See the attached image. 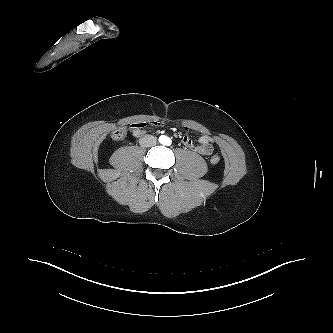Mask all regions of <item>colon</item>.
Instances as JSON below:
<instances>
[{
    "mask_svg": "<svg viewBox=\"0 0 333 333\" xmlns=\"http://www.w3.org/2000/svg\"><path fill=\"white\" fill-rule=\"evenodd\" d=\"M126 135H127L126 128L119 127L113 132L112 137L115 140H122L123 138H125ZM210 161L212 164H218L220 162V156L218 154H214L211 156Z\"/></svg>",
    "mask_w": 333,
    "mask_h": 333,
    "instance_id": "obj_1",
    "label": "colon"
}]
</instances>
